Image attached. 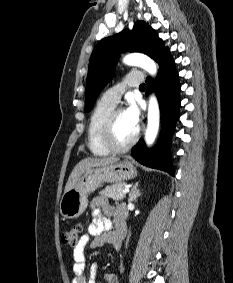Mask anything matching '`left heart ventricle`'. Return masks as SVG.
I'll list each match as a JSON object with an SVG mask.
<instances>
[{
  "mask_svg": "<svg viewBox=\"0 0 233 283\" xmlns=\"http://www.w3.org/2000/svg\"><path fill=\"white\" fill-rule=\"evenodd\" d=\"M136 129L137 128L130 122L125 112H120L117 115L114 125V142L117 145H124L128 143L134 136Z\"/></svg>",
  "mask_w": 233,
  "mask_h": 283,
  "instance_id": "left-heart-ventricle-1",
  "label": "left heart ventricle"
}]
</instances>
